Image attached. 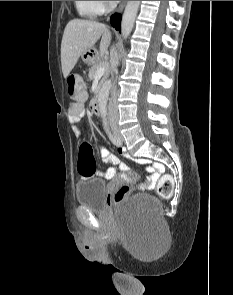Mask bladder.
Wrapping results in <instances>:
<instances>
[{"label": "bladder", "mask_w": 233, "mask_h": 295, "mask_svg": "<svg viewBox=\"0 0 233 295\" xmlns=\"http://www.w3.org/2000/svg\"><path fill=\"white\" fill-rule=\"evenodd\" d=\"M76 200L79 205L87 209L105 213L108 210L106 204L107 186L104 180L99 178H88L76 184ZM124 212L153 221L159 217L160 203L152 195L141 193L128 199L123 204Z\"/></svg>", "instance_id": "bladder-1"}]
</instances>
